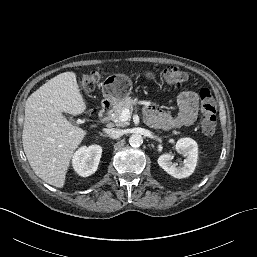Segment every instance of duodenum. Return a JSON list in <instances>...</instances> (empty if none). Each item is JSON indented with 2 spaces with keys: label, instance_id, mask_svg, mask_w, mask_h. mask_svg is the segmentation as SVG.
Wrapping results in <instances>:
<instances>
[{
  "label": "duodenum",
  "instance_id": "duodenum-1",
  "mask_svg": "<svg viewBox=\"0 0 257 257\" xmlns=\"http://www.w3.org/2000/svg\"><path fill=\"white\" fill-rule=\"evenodd\" d=\"M113 105L111 102H105L100 109L99 116L102 120H107L111 114Z\"/></svg>",
  "mask_w": 257,
  "mask_h": 257
}]
</instances>
